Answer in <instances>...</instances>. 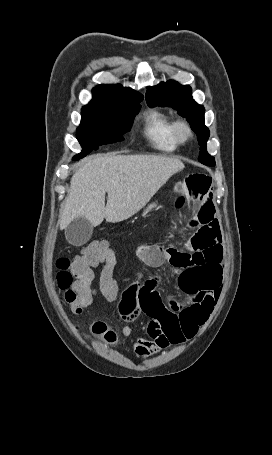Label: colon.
<instances>
[{"label": "colon", "mask_w": 272, "mask_h": 455, "mask_svg": "<svg viewBox=\"0 0 272 455\" xmlns=\"http://www.w3.org/2000/svg\"><path fill=\"white\" fill-rule=\"evenodd\" d=\"M184 203L185 198L179 197L175 207L182 208ZM56 266L58 287L64 292L65 302L73 313L82 312L94 301L97 293L108 301L117 298L118 283L114 278L116 258L106 242L93 241L75 258H59ZM99 266L103 269L96 286L94 269ZM92 332L107 342L115 340L114 333L103 323H95Z\"/></svg>", "instance_id": "obj_1"}]
</instances>
